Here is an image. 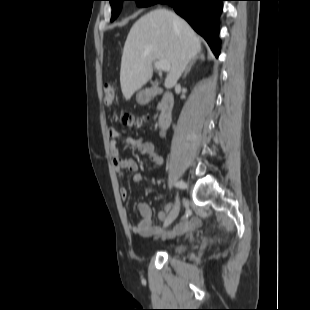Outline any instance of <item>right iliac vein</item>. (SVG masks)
Listing matches in <instances>:
<instances>
[{"label":"right iliac vein","mask_w":310,"mask_h":310,"mask_svg":"<svg viewBox=\"0 0 310 310\" xmlns=\"http://www.w3.org/2000/svg\"><path fill=\"white\" fill-rule=\"evenodd\" d=\"M180 211V201L177 200V203L170 214L167 216L166 220L164 221L163 227L167 228L169 225L173 223V221L177 218Z\"/></svg>","instance_id":"right-iliac-vein-1"}]
</instances>
